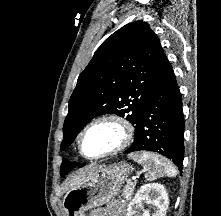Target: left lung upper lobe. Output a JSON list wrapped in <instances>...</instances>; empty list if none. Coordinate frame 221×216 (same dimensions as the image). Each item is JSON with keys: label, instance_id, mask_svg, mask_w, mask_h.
Wrapping results in <instances>:
<instances>
[{"label": "left lung upper lobe", "instance_id": "1", "mask_svg": "<svg viewBox=\"0 0 221 216\" xmlns=\"http://www.w3.org/2000/svg\"><path fill=\"white\" fill-rule=\"evenodd\" d=\"M164 55L159 38L146 22L129 23L109 36L78 77L68 104L61 149L74 141L87 122L102 114L126 116L136 128ZM83 165L64 159L60 175Z\"/></svg>", "mask_w": 221, "mask_h": 216}]
</instances>
